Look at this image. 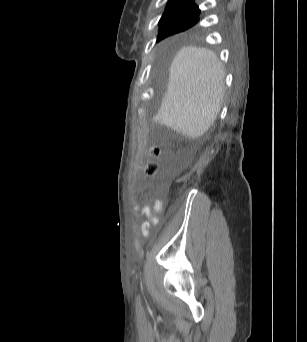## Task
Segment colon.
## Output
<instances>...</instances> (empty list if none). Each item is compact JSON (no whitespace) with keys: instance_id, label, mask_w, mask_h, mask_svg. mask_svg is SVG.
<instances>
[{"instance_id":"obj_1","label":"colon","mask_w":307,"mask_h":342,"mask_svg":"<svg viewBox=\"0 0 307 342\" xmlns=\"http://www.w3.org/2000/svg\"><path fill=\"white\" fill-rule=\"evenodd\" d=\"M150 155L158 156L160 154V148L158 146H153L149 150ZM159 170V166L155 163L148 161L143 165V172L147 176H154Z\"/></svg>"}]
</instances>
